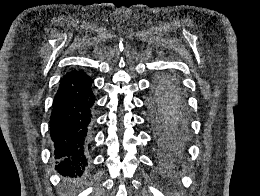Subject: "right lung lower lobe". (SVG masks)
Returning <instances> with one entry per match:
<instances>
[{
    "label": "right lung lower lobe",
    "mask_w": 260,
    "mask_h": 196,
    "mask_svg": "<svg viewBox=\"0 0 260 196\" xmlns=\"http://www.w3.org/2000/svg\"><path fill=\"white\" fill-rule=\"evenodd\" d=\"M94 80L84 71L62 77L54 97L49 135L55 169L64 175L81 176L87 166L91 143Z\"/></svg>",
    "instance_id": "obj_1"
}]
</instances>
